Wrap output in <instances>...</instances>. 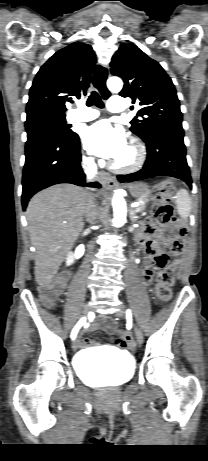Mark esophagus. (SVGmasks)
<instances>
[{
    "label": "esophagus",
    "instance_id": "1",
    "mask_svg": "<svg viewBox=\"0 0 208 461\" xmlns=\"http://www.w3.org/2000/svg\"><path fill=\"white\" fill-rule=\"evenodd\" d=\"M105 69H106V72H107V75H106V79H105V84H106V81H107V78L109 77V67L108 66H105ZM109 93V92H108ZM99 179L100 181L103 183V185L107 188H113L115 185H116V180L114 177H112L110 174H108L107 172H104V171H101L99 173Z\"/></svg>",
    "mask_w": 208,
    "mask_h": 461
}]
</instances>
